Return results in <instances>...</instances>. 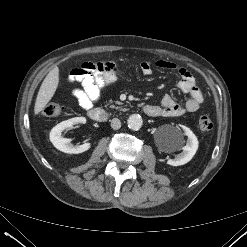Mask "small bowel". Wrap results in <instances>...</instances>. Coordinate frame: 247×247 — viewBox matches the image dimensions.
<instances>
[{"mask_svg": "<svg viewBox=\"0 0 247 247\" xmlns=\"http://www.w3.org/2000/svg\"><path fill=\"white\" fill-rule=\"evenodd\" d=\"M155 65L160 69L177 72L180 80L176 87L188 94L189 98L182 106L171 96L165 95L160 105H153L155 113L152 117H178L186 112L197 111L204 100V95L192 74L186 68L167 60H158ZM140 71L143 75H151L152 64L147 61L142 62ZM119 75L120 68L113 61L85 62L70 72L69 82H78L81 85V88L72 90V95L82 108L90 109L100 100L102 92L117 81Z\"/></svg>", "mask_w": 247, "mask_h": 247, "instance_id": "c3829d8e", "label": "small bowel"}]
</instances>
